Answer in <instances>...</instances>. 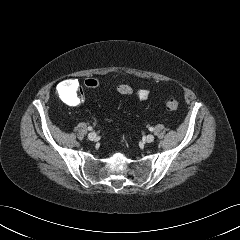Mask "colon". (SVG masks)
I'll use <instances>...</instances> for the list:
<instances>
[{"mask_svg":"<svg viewBox=\"0 0 240 240\" xmlns=\"http://www.w3.org/2000/svg\"><path fill=\"white\" fill-rule=\"evenodd\" d=\"M100 85V81L97 78H87L85 80V86L88 88H97ZM61 91L76 90L72 80H67L61 85ZM117 91L121 94L128 95L132 93V88L127 84H120L117 86ZM148 92L146 90H140L137 92V97L140 100H146L148 98ZM166 109L169 111H175L179 107V102L176 98L170 97L166 101Z\"/></svg>","mask_w":240,"mask_h":240,"instance_id":"colon-1","label":"colon"}]
</instances>
